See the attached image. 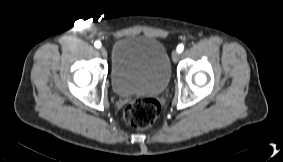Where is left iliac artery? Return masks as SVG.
Masks as SVG:
<instances>
[{
    "mask_svg": "<svg viewBox=\"0 0 283 162\" xmlns=\"http://www.w3.org/2000/svg\"><path fill=\"white\" fill-rule=\"evenodd\" d=\"M183 49H184V45H183V44H179V45L177 46V52H178V53H181V52L183 51Z\"/></svg>",
    "mask_w": 283,
    "mask_h": 162,
    "instance_id": "obj_1",
    "label": "left iliac artery"
}]
</instances>
